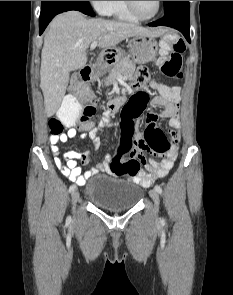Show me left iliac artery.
<instances>
[{
  "label": "left iliac artery",
  "mask_w": 233,
  "mask_h": 295,
  "mask_svg": "<svg viewBox=\"0 0 233 295\" xmlns=\"http://www.w3.org/2000/svg\"><path fill=\"white\" fill-rule=\"evenodd\" d=\"M154 189L158 192V193H162V188L159 186V185H156L155 187H154Z\"/></svg>",
  "instance_id": "44dca946"
}]
</instances>
